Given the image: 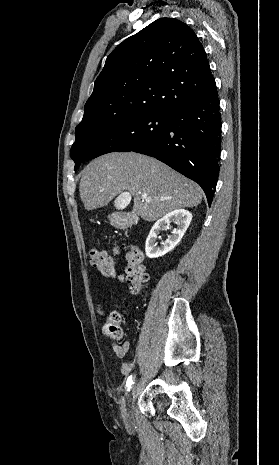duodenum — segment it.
I'll return each mask as SVG.
<instances>
[{
  "mask_svg": "<svg viewBox=\"0 0 279 465\" xmlns=\"http://www.w3.org/2000/svg\"><path fill=\"white\" fill-rule=\"evenodd\" d=\"M131 223H133V219H132V218H127V219L124 221V224H125V225H130Z\"/></svg>",
  "mask_w": 279,
  "mask_h": 465,
  "instance_id": "1",
  "label": "duodenum"
}]
</instances>
